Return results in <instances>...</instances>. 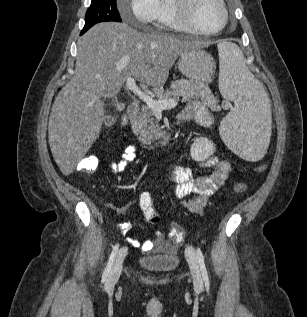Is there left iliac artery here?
Segmentation results:
<instances>
[{"label":"left iliac artery","instance_id":"obj_1","mask_svg":"<svg viewBox=\"0 0 307 317\" xmlns=\"http://www.w3.org/2000/svg\"><path fill=\"white\" fill-rule=\"evenodd\" d=\"M196 254H197L198 263L200 266V270L202 273L204 283L208 287L209 286V277H208L207 269H206L205 262H204V256H203V253H202L200 248H197Z\"/></svg>","mask_w":307,"mask_h":317}]
</instances>
